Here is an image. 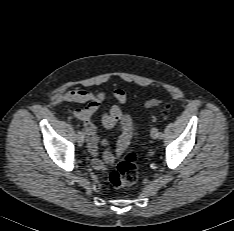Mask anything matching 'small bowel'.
Segmentation results:
<instances>
[{"label":"small bowel","mask_w":234,"mask_h":231,"mask_svg":"<svg viewBox=\"0 0 234 231\" xmlns=\"http://www.w3.org/2000/svg\"><path fill=\"white\" fill-rule=\"evenodd\" d=\"M105 96L106 95L102 92L94 94L83 89L69 90L63 94V100L66 102L86 104L84 108L72 110L71 113L76 119L84 124L88 140V150L92 156L91 165L98 171H104L108 166L117 161V159L126 151L132 134L129 124L124 122L122 133L117 140L115 152L106 148L102 157L98 155L99 139L96 135V126L91 119L98 111ZM113 96L116 103L111 106L108 112L102 115V124L108 129L115 127L118 123L121 118V106L126 102V94L121 89L115 90Z\"/></svg>","instance_id":"c3829d8e"}]
</instances>
